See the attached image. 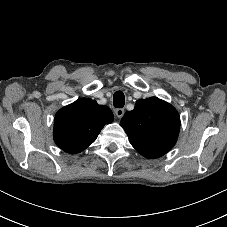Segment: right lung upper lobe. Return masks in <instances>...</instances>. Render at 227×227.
Here are the masks:
<instances>
[{"label":"right lung upper lobe","instance_id":"cb5924a9","mask_svg":"<svg viewBox=\"0 0 227 227\" xmlns=\"http://www.w3.org/2000/svg\"><path fill=\"white\" fill-rule=\"evenodd\" d=\"M109 107L81 98L60 109L54 119L53 136L59 148L76 154L92 144L105 124L113 121Z\"/></svg>","mask_w":227,"mask_h":227}]
</instances>
